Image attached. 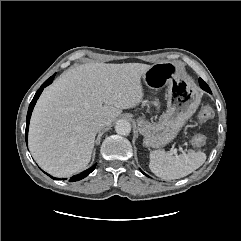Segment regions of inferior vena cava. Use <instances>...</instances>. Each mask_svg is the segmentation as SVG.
<instances>
[{"mask_svg":"<svg viewBox=\"0 0 241 241\" xmlns=\"http://www.w3.org/2000/svg\"><path fill=\"white\" fill-rule=\"evenodd\" d=\"M107 124V121L105 118H99L95 120L92 124V127L95 131H100L102 128H104Z\"/></svg>","mask_w":241,"mask_h":241,"instance_id":"inferior-vena-cava-1","label":"inferior vena cava"}]
</instances>
